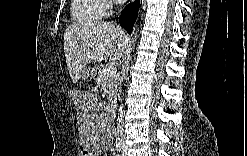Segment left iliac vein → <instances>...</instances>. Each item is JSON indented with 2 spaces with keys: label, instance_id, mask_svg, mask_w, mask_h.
<instances>
[{
  "label": "left iliac vein",
  "instance_id": "left-iliac-vein-1",
  "mask_svg": "<svg viewBox=\"0 0 247 156\" xmlns=\"http://www.w3.org/2000/svg\"><path fill=\"white\" fill-rule=\"evenodd\" d=\"M122 155L126 156V149H125V145L122 146Z\"/></svg>",
  "mask_w": 247,
  "mask_h": 156
}]
</instances>
